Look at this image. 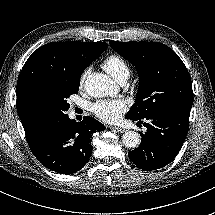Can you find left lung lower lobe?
Segmentation results:
<instances>
[{
	"label": "left lung lower lobe",
	"instance_id": "left-lung-lower-lobe-1",
	"mask_svg": "<svg viewBox=\"0 0 215 215\" xmlns=\"http://www.w3.org/2000/svg\"><path fill=\"white\" fill-rule=\"evenodd\" d=\"M190 109L191 107L175 108L147 116L145 120L149 123H144L147 131L140 133V146L128 153L130 160L140 169L147 171L169 164L185 141Z\"/></svg>",
	"mask_w": 215,
	"mask_h": 215
}]
</instances>
